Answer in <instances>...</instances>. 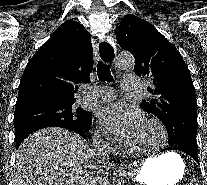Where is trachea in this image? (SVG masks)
Instances as JSON below:
<instances>
[{
    "instance_id": "trachea-1",
    "label": "trachea",
    "mask_w": 207,
    "mask_h": 185,
    "mask_svg": "<svg viewBox=\"0 0 207 185\" xmlns=\"http://www.w3.org/2000/svg\"><path fill=\"white\" fill-rule=\"evenodd\" d=\"M100 56L104 62L111 61V56L114 54V50L107 42H102L99 47ZM98 77L101 82H112L113 77L110 72V68L106 63L98 62L97 65Z\"/></svg>"
}]
</instances>
